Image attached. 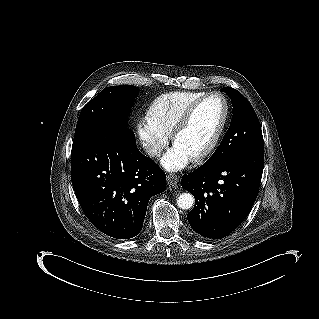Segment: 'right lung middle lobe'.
Here are the masks:
<instances>
[{"instance_id": "right-lung-middle-lobe-1", "label": "right lung middle lobe", "mask_w": 319, "mask_h": 319, "mask_svg": "<svg viewBox=\"0 0 319 319\" xmlns=\"http://www.w3.org/2000/svg\"><path fill=\"white\" fill-rule=\"evenodd\" d=\"M139 93L132 85L104 88L82 109L74 139L105 130L132 132L127 126V116Z\"/></svg>"}]
</instances>
